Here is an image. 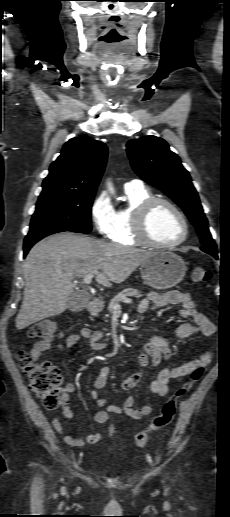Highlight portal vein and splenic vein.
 Listing matches in <instances>:
<instances>
[{
  "label": "portal vein and splenic vein",
  "instance_id": "obj_1",
  "mask_svg": "<svg viewBox=\"0 0 230 517\" xmlns=\"http://www.w3.org/2000/svg\"><path fill=\"white\" fill-rule=\"evenodd\" d=\"M92 277H93V276H92L91 274H87V275H85V276H84V278H83V283H84V284H87V285L91 284V282H92ZM122 301H123L124 303H129V304H130V303H132V300H131V299H129V298H124ZM115 307H120V305H119V304H116V306H115Z\"/></svg>",
  "mask_w": 230,
  "mask_h": 517
}]
</instances>
